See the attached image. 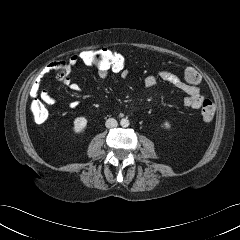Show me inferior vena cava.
<instances>
[{
    "mask_svg": "<svg viewBox=\"0 0 240 240\" xmlns=\"http://www.w3.org/2000/svg\"><path fill=\"white\" fill-rule=\"evenodd\" d=\"M117 125H118V122H117V120L114 119V118H109V119H107V121H106V123H105V126H106L108 129H110V128H115V127H117Z\"/></svg>",
    "mask_w": 240,
    "mask_h": 240,
    "instance_id": "602c4592",
    "label": "inferior vena cava"
}]
</instances>
